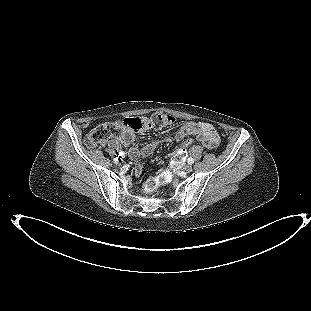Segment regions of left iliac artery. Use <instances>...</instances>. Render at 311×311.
Returning a JSON list of instances; mask_svg holds the SVG:
<instances>
[{
    "instance_id": "left-iliac-artery-1",
    "label": "left iliac artery",
    "mask_w": 311,
    "mask_h": 311,
    "mask_svg": "<svg viewBox=\"0 0 311 311\" xmlns=\"http://www.w3.org/2000/svg\"><path fill=\"white\" fill-rule=\"evenodd\" d=\"M188 164H193L194 163V159L192 157L188 158L187 160Z\"/></svg>"
}]
</instances>
